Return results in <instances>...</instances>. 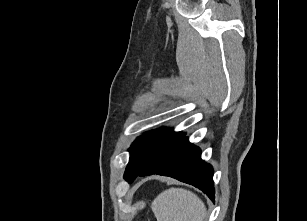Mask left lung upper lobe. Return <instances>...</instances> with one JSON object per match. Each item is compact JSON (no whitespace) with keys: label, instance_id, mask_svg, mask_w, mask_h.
I'll return each instance as SVG.
<instances>
[{"label":"left lung upper lobe","instance_id":"1","mask_svg":"<svg viewBox=\"0 0 307 221\" xmlns=\"http://www.w3.org/2000/svg\"><path fill=\"white\" fill-rule=\"evenodd\" d=\"M183 135L184 133L174 132L172 128L161 127L138 137L129 148L130 160L124 179L131 182L144 167Z\"/></svg>","mask_w":307,"mask_h":221}]
</instances>
